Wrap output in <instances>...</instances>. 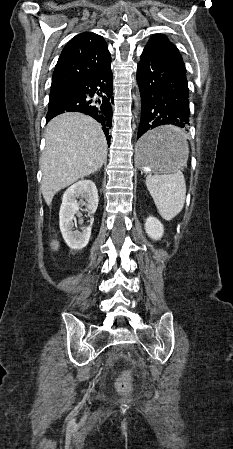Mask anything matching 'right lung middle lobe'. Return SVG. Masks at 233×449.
<instances>
[{
    "label": "right lung middle lobe",
    "mask_w": 233,
    "mask_h": 449,
    "mask_svg": "<svg viewBox=\"0 0 233 449\" xmlns=\"http://www.w3.org/2000/svg\"><path fill=\"white\" fill-rule=\"evenodd\" d=\"M73 95L74 91L70 87L51 90L49 104L56 103L63 99L72 97Z\"/></svg>",
    "instance_id": "right-lung-middle-lobe-1"
}]
</instances>
